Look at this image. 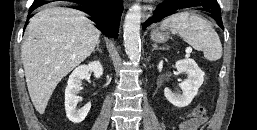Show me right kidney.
<instances>
[{"label": "right kidney", "mask_w": 257, "mask_h": 130, "mask_svg": "<svg viewBox=\"0 0 257 130\" xmlns=\"http://www.w3.org/2000/svg\"><path fill=\"white\" fill-rule=\"evenodd\" d=\"M89 72H93L96 78H100L103 74L101 63L93 61L88 65L77 67L71 73L67 82L65 89V111L67 118L74 124L81 123L91 108V103L88 102L82 108L76 109L77 104L81 101L77 94L79 93L82 80L89 76Z\"/></svg>", "instance_id": "1"}]
</instances>
